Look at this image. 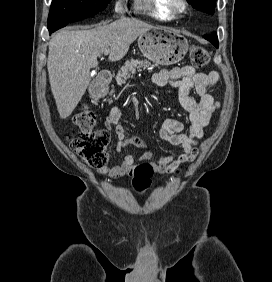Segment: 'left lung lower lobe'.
I'll return each mask as SVG.
<instances>
[{"instance_id":"0a47b994","label":"left lung lower lobe","mask_w":272,"mask_h":282,"mask_svg":"<svg viewBox=\"0 0 272 282\" xmlns=\"http://www.w3.org/2000/svg\"><path fill=\"white\" fill-rule=\"evenodd\" d=\"M204 38L209 40L212 44H214V46L216 48H218V39H217V35L215 33H213L211 35H205Z\"/></svg>"}]
</instances>
